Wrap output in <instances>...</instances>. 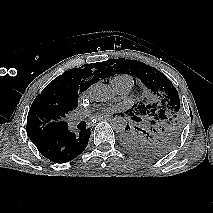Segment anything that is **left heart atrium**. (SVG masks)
Listing matches in <instances>:
<instances>
[{
  "label": "left heart atrium",
  "mask_w": 213,
  "mask_h": 213,
  "mask_svg": "<svg viewBox=\"0 0 213 213\" xmlns=\"http://www.w3.org/2000/svg\"><path fill=\"white\" fill-rule=\"evenodd\" d=\"M111 111V109H104L103 112Z\"/></svg>",
  "instance_id": "1"
}]
</instances>
